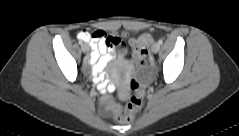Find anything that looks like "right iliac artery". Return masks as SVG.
<instances>
[{
    "mask_svg": "<svg viewBox=\"0 0 239 136\" xmlns=\"http://www.w3.org/2000/svg\"><path fill=\"white\" fill-rule=\"evenodd\" d=\"M83 44H84V43H83V41H79V45H81V46H82Z\"/></svg>",
    "mask_w": 239,
    "mask_h": 136,
    "instance_id": "1",
    "label": "right iliac artery"
}]
</instances>
